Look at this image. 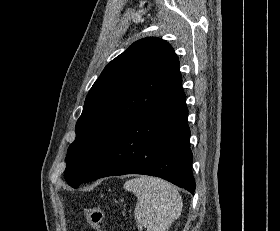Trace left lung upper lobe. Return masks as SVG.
<instances>
[{"label":"left lung upper lobe","mask_w":280,"mask_h":231,"mask_svg":"<svg viewBox=\"0 0 280 231\" xmlns=\"http://www.w3.org/2000/svg\"><path fill=\"white\" fill-rule=\"evenodd\" d=\"M182 82L179 60L164 40L148 37L112 60L90 89L66 155L64 178L78 188L112 142Z\"/></svg>","instance_id":"5c2ea615"}]
</instances>
